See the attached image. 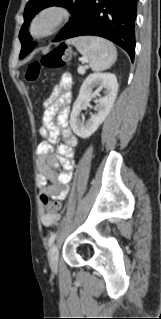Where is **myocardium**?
Instances as JSON below:
<instances>
[{
    "label": "myocardium",
    "mask_w": 161,
    "mask_h": 319,
    "mask_svg": "<svg viewBox=\"0 0 161 319\" xmlns=\"http://www.w3.org/2000/svg\"><path fill=\"white\" fill-rule=\"evenodd\" d=\"M69 17V11L57 4L48 5L32 18L29 34L34 39H43L54 33Z\"/></svg>",
    "instance_id": "obj_1"
}]
</instances>
